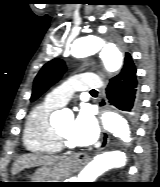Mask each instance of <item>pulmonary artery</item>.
I'll return each instance as SVG.
<instances>
[{
    "mask_svg": "<svg viewBox=\"0 0 160 187\" xmlns=\"http://www.w3.org/2000/svg\"><path fill=\"white\" fill-rule=\"evenodd\" d=\"M101 86V80L96 75L76 74L66 82L47 94L45 101L49 104L64 106L78 91H90Z\"/></svg>",
    "mask_w": 160,
    "mask_h": 187,
    "instance_id": "obj_1",
    "label": "pulmonary artery"
}]
</instances>
